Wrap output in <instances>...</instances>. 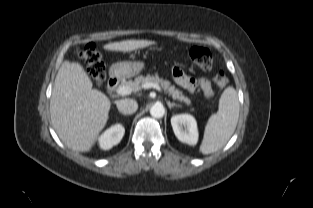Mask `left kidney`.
Masks as SVG:
<instances>
[{
  "label": "left kidney",
  "instance_id": "obj_1",
  "mask_svg": "<svg viewBox=\"0 0 313 208\" xmlns=\"http://www.w3.org/2000/svg\"><path fill=\"white\" fill-rule=\"evenodd\" d=\"M171 125L179 141L188 145H196L198 129L195 118L190 114H178L171 118Z\"/></svg>",
  "mask_w": 313,
  "mask_h": 208
}]
</instances>
